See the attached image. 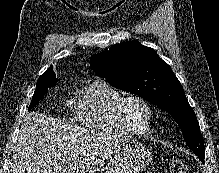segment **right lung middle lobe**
Masks as SVG:
<instances>
[{"label": "right lung middle lobe", "mask_w": 219, "mask_h": 173, "mask_svg": "<svg viewBox=\"0 0 219 173\" xmlns=\"http://www.w3.org/2000/svg\"><path fill=\"white\" fill-rule=\"evenodd\" d=\"M55 78V74L42 75L39 77L29 109L36 106L39 103V101L44 97V95L48 91V88H51L57 83V80H55Z\"/></svg>", "instance_id": "right-lung-middle-lobe-1"}]
</instances>
